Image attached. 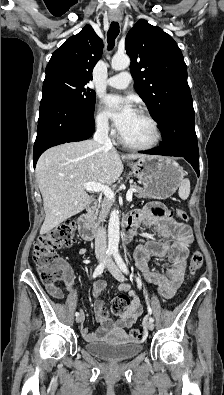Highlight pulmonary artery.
I'll return each mask as SVG.
<instances>
[{
    "label": "pulmonary artery",
    "instance_id": "pulmonary-artery-1",
    "mask_svg": "<svg viewBox=\"0 0 224 395\" xmlns=\"http://www.w3.org/2000/svg\"><path fill=\"white\" fill-rule=\"evenodd\" d=\"M131 82V76L128 72L124 71L106 80V84L112 88L125 89Z\"/></svg>",
    "mask_w": 224,
    "mask_h": 395
}]
</instances>
